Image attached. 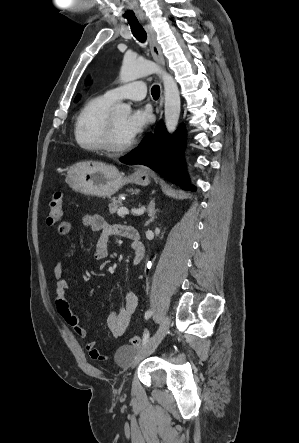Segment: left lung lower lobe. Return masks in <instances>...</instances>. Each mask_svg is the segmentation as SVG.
Wrapping results in <instances>:
<instances>
[{
  "label": "left lung lower lobe",
  "instance_id": "0a47b994",
  "mask_svg": "<svg viewBox=\"0 0 299 443\" xmlns=\"http://www.w3.org/2000/svg\"><path fill=\"white\" fill-rule=\"evenodd\" d=\"M184 145L183 127L170 136L164 124L160 122L154 134L148 133L139 146L121 157L120 161L129 165L143 164L183 189L195 191V187L190 185L185 174L182 157Z\"/></svg>",
  "mask_w": 299,
  "mask_h": 443
}]
</instances>
